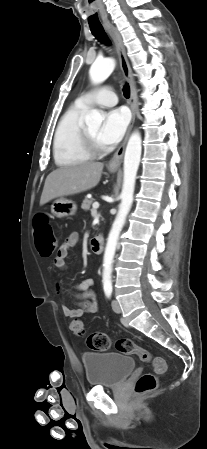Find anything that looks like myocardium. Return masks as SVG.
Returning a JSON list of instances; mask_svg holds the SVG:
<instances>
[{
    "instance_id": "obj_1",
    "label": "myocardium",
    "mask_w": 207,
    "mask_h": 449,
    "mask_svg": "<svg viewBox=\"0 0 207 449\" xmlns=\"http://www.w3.org/2000/svg\"><path fill=\"white\" fill-rule=\"evenodd\" d=\"M80 142L83 150L90 156H97L105 151L104 146L95 141L84 126L81 127L80 131Z\"/></svg>"
}]
</instances>
